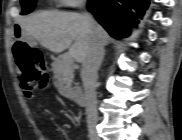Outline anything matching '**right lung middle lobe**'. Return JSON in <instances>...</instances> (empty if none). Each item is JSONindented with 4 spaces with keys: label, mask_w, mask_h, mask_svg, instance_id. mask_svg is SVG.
Here are the masks:
<instances>
[{
    "label": "right lung middle lobe",
    "mask_w": 182,
    "mask_h": 140,
    "mask_svg": "<svg viewBox=\"0 0 182 140\" xmlns=\"http://www.w3.org/2000/svg\"><path fill=\"white\" fill-rule=\"evenodd\" d=\"M93 2L98 3L99 0H94ZM21 5L23 8L21 15H25V14L30 13L34 9V7L36 5V0H22Z\"/></svg>",
    "instance_id": "1"
}]
</instances>
